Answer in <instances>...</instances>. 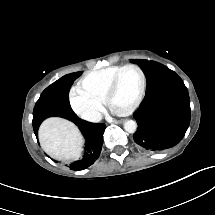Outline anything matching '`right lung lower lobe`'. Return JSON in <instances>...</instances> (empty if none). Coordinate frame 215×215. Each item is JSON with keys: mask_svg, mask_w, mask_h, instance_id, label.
Returning a JSON list of instances; mask_svg holds the SVG:
<instances>
[{"mask_svg": "<svg viewBox=\"0 0 215 215\" xmlns=\"http://www.w3.org/2000/svg\"><path fill=\"white\" fill-rule=\"evenodd\" d=\"M56 116L66 118L77 124L86 140L82 158L72 163L70 165V169L79 171L91 166L100 155L103 143V133L106 126L103 124L89 123L87 121L81 120L77 116L75 117H66L63 115ZM46 118L47 117H43L38 119L37 121H33V129L37 137V141L39 126L42 123V121Z\"/></svg>", "mask_w": 215, "mask_h": 215, "instance_id": "obj_1", "label": "right lung lower lobe"}]
</instances>
